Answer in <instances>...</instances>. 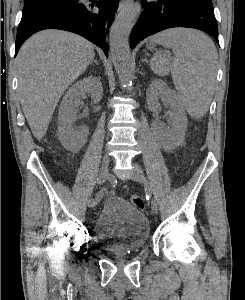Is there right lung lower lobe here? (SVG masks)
<instances>
[{
  "label": "right lung lower lobe",
  "instance_id": "98d812e1",
  "mask_svg": "<svg viewBox=\"0 0 245 300\" xmlns=\"http://www.w3.org/2000/svg\"><path fill=\"white\" fill-rule=\"evenodd\" d=\"M118 2L78 0L22 16L17 30L15 55L32 34L44 29H62L85 37L101 47L108 57L105 33H108Z\"/></svg>",
  "mask_w": 245,
  "mask_h": 300
}]
</instances>
